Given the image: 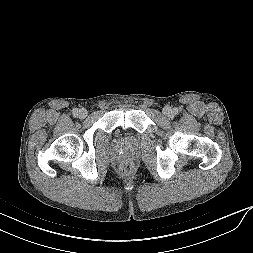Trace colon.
Wrapping results in <instances>:
<instances>
[{
    "instance_id": "colon-1",
    "label": "colon",
    "mask_w": 253,
    "mask_h": 253,
    "mask_svg": "<svg viewBox=\"0 0 253 253\" xmlns=\"http://www.w3.org/2000/svg\"><path fill=\"white\" fill-rule=\"evenodd\" d=\"M132 165L129 164V163H125L121 166V172L124 174V175H129L132 173Z\"/></svg>"
}]
</instances>
